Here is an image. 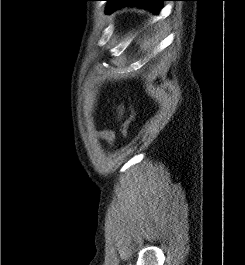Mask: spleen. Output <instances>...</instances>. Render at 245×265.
Returning <instances> with one entry per match:
<instances>
[{
    "label": "spleen",
    "mask_w": 245,
    "mask_h": 265,
    "mask_svg": "<svg viewBox=\"0 0 245 265\" xmlns=\"http://www.w3.org/2000/svg\"><path fill=\"white\" fill-rule=\"evenodd\" d=\"M149 44V42H147V40L144 41V47L147 46Z\"/></svg>",
    "instance_id": "3e777b00"
}]
</instances>
